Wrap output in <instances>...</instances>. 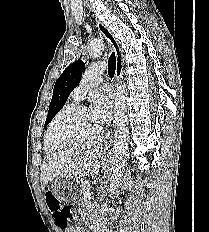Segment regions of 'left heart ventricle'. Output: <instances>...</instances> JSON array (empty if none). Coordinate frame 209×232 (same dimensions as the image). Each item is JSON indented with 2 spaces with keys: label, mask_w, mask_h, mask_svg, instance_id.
Returning a JSON list of instances; mask_svg holds the SVG:
<instances>
[{
  "label": "left heart ventricle",
  "mask_w": 209,
  "mask_h": 232,
  "mask_svg": "<svg viewBox=\"0 0 209 232\" xmlns=\"http://www.w3.org/2000/svg\"><path fill=\"white\" fill-rule=\"evenodd\" d=\"M99 125L92 111L86 109L59 123L55 135L61 139L85 136L96 131Z\"/></svg>",
  "instance_id": "obj_1"
}]
</instances>
